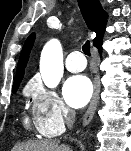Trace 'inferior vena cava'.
I'll list each match as a JSON object with an SVG mask.
<instances>
[{
    "instance_id": "obj_1",
    "label": "inferior vena cava",
    "mask_w": 131,
    "mask_h": 151,
    "mask_svg": "<svg viewBox=\"0 0 131 151\" xmlns=\"http://www.w3.org/2000/svg\"><path fill=\"white\" fill-rule=\"evenodd\" d=\"M74 122H75V117L73 114H70L66 117V125L68 128H72Z\"/></svg>"
}]
</instances>
